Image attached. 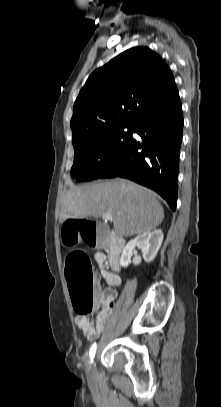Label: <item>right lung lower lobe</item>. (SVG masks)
Instances as JSON below:
<instances>
[{
    "label": "right lung lower lobe",
    "mask_w": 221,
    "mask_h": 407,
    "mask_svg": "<svg viewBox=\"0 0 221 407\" xmlns=\"http://www.w3.org/2000/svg\"><path fill=\"white\" fill-rule=\"evenodd\" d=\"M132 139L122 156L100 178L124 177L160 194L175 210L183 115L177 88L134 124Z\"/></svg>",
    "instance_id": "98d812e1"
}]
</instances>
